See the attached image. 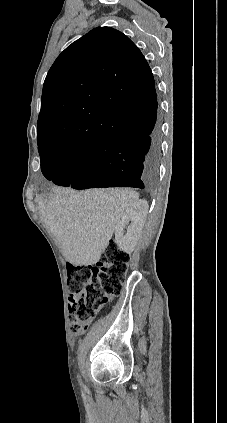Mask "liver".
<instances>
[{"label":"liver","instance_id":"liver-1","mask_svg":"<svg viewBox=\"0 0 227 423\" xmlns=\"http://www.w3.org/2000/svg\"><path fill=\"white\" fill-rule=\"evenodd\" d=\"M139 200L128 188H94L75 192L54 188L39 210L61 245L62 255L73 265L99 261L124 211Z\"/></svg>","mask_w":227,"mask_h":423}]
</instances>
